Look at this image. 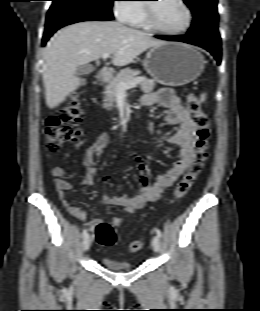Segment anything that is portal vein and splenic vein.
Masks as SVG:
<instances>
[{"mask_svg":"<svg viewBox=\"0 0 260 311\" xmlns=\"http://www.w3.org/2000/svg\"><path fill=\"white\" fill-rule=\"evenodd\" d=\"M110 57V54H104L102 56L103 59H107ZM143 81V78L142 77H136V78H133L132 80L128 81V82H121L119 85H118V90L119 91H125L127 89H130V88H133L135 87L136 85H138L139 83H141Z\"/></svg>","mask_w":260,"mask_h":311,"instance_id":"obj_1","label":"portal vein and splenic vein"}]
</instances>
